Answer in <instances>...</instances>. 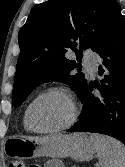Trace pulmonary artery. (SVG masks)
<instances>
[{
	"mask_svg": "<svg viewBox=\"0 0 125 167\" xmlns=\"http://www.w3.org/2000/svg\"><path fill=\"white\" fill-rule=\"evenodd\" d=\"M86 65L92 74L96 73V57L94 55L87 53Z\"/></svg>",
	"mask_w": 125,
	"mask_h": 167,
	"instance_id": "obj_1",
	"label": "pulmonary artery"
}]
</instances>
